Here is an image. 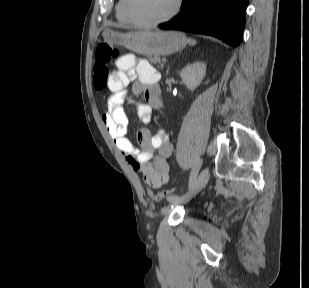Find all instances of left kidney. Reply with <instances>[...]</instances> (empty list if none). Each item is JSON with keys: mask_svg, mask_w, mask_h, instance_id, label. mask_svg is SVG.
<instances>
[{"mask_svg": "<svg viewBox=\"0 0 309 288\" xmlns=\"http://www.w3.org/2000/svg\"><path fill=\"white\" fill-rule=\"evenodd\" d=\"M205 74L206 64L203 62H194L181 70L180 77L186 87L193 91L200 85Z\"/></svg>", "mask_w": 309, "mask_h": 288, "instance_id": "1", "label": "left kidney"}]
</instances>
